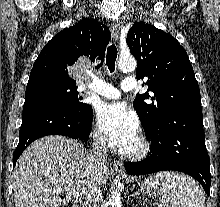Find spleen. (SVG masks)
<instances>
[{"label":"spleen","instance_id":"1","mask_svg":"<svg viewBox=\"0 0 220 207\" xmlns=\"http://www.w3.org/2000/svg\"><path fill=\"white\" fill-rule=\"evenodd\" d=\"M156 179L161 185L162 201L170 202L172 207H205L202 188L189 176L163 171L156 174Z\"/></svg>","mask_w":220,"mask_h":207}]
</instances>
